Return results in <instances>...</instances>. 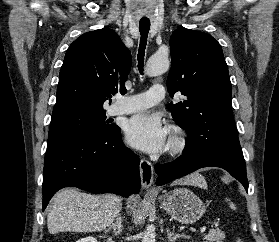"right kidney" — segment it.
<instances>
[{"label":"right kidney","instance_id":"1","mask_svg":"<svg viewBox=\"0 0 279 242\" xmlns=\"http://www.w3.org/2000/svg\"><path fill=\"white\" fill-rule=\"evenodd\" d=\"M76 242H97V240H96V238L89 236V237L81 238L80 240H78Z\"/></svg>","mask_w":279,"mask_h":242}]
</instances>
